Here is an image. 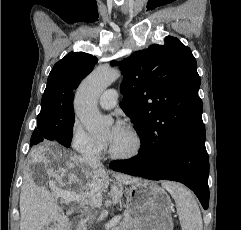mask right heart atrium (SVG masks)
<instances>
[{"instance_id":"obj_1","label":"right heart atrium","mask_w":241,"mask_h":230,"mask_svg":"<svg viewBox=\"0 0 241 230\" xmlns=\"http://www.w3.org/2000/svg\"><path fill=\"white\" fill-rule=\"evenodd\" d=\"M70 145L77 153L87 157L99 156L105 149V144L90 135L77 120L71 130Z\"/></svg>"}]
</instances>
